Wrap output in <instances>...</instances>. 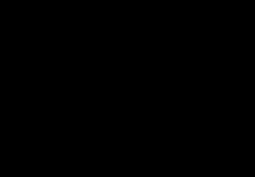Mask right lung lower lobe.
Returning <instances> with one entry per match:
<instances>
[{
  "label": "right lung lower lobe",
  "mask_w": 255,
  "mask_h": 177,
  "mask_svg": "<svg viewBox=\"0 0 255 177\" xmlns=\"http://www.w3.org/2000/svg\"><path fill=\"white\" fill-rule=\"evenodd\" d=\"M104 113L105 110L101 106L89 110L66 112L61 117L59 125L66 132L84 137L92 132L96 121L103 117Z\"/></svg>",
  "instance_id": "1"
}]
</instances>
